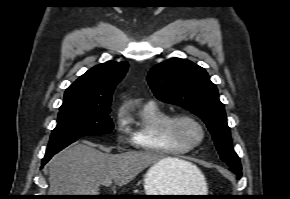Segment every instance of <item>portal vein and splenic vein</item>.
Listing matches in <instances>:
<instances>
[{"instance_id": "obj_1", "label": "portal vein and splenic vein", "mask_w": 290, "mask_h": 199, "mask_svg": "<svg viewBox=\"0 0 290 199\" xmlns=\"http://www.w3.org/2000/svg\"><path fill=\"white\" fill-rule=\"evenodd\" d=\"M111 184V181H106L105 183H104V185H106V186H109Z\"/></svg>"}]
</instances>
